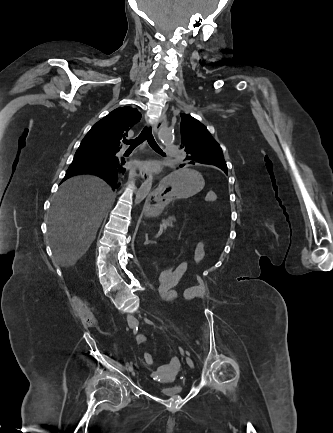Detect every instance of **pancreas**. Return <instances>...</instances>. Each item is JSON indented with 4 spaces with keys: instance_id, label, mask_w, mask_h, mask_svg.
<instances>
[{
    "instance_id": "pancreas-1",
    "label": "pancreas",
    "mask_w": 333,
    "mask_h": 433,
    "mask_svg": "<svg viewBox=\"0 0 333 433\" xmlns=\"http://www.w3.org/2000/svg\"><path fill=\"white\" fill-rule=\"evenodd\" d=\"M176 221V218L174 216H169L167 219H163L161 221V225L172 227L173 223Z\"/></svg>"
}]
</instances>
